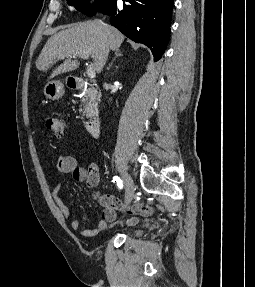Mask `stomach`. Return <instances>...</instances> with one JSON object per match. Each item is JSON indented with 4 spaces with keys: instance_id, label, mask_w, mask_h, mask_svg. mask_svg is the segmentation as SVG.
I'll list each match as a JSON object with an SVG mask.
<instances>
[{
    "instance_id": "0dacf381",
    "label": "stomach",
    "mask_w": 255,
    "mask_h": 287,
    "mask_svg": "<svg viewBox=\"0 0 255 287\" xmlns=\"http://www.w3.org/2000/svg\"><path fill=\"white\" fill-rule=\"evenodd\" d=\"M65 88L62 82H48L44 88V96H46L47 100H60L62 96H64Z\"/></svg>"
}]
</instances>
